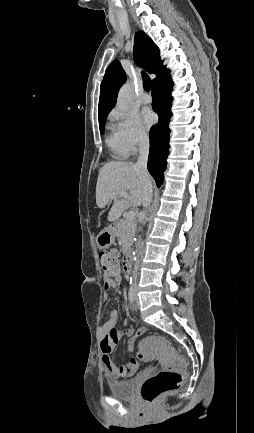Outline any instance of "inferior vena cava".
<instances>
[{
    "instance_id": "inferior-vena-cava-1",
    "label": "inferior vena cava",
    "mask_w": 254,
    "mask_h": 433,
    "mask_svg": "<svg viewBox=\"0 0 254 433\" xmlns=\"http://www.w3.org/2000/svg\"><path fill=\"white\" fill-rule=\"evenodd\" d=\"M139 151L140 154L135 165L143 172L145 176L144 196H143L142 204L143 207L147 208L152 201L153 190H152V182L150 181L147 172V161H148V154H149V137L146 134H142L140 136ZM138 268H139V263L136 262L134 267V275H133L134 285H136Z\"/></svg>"
}]
</instances>
